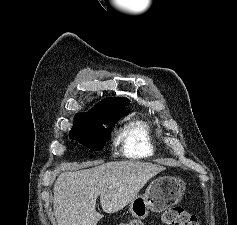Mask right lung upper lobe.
Returning a JSON list of instances; mask_svg holds the SVG:
<instances>
[{"instance_id": "1", "label": "right lung upper lobe", "mask_w": 237, "mask_h": 225, "mask_svg": "<svg viewBox=\"0 0 237 225\" xmlns=\"http://www.w3.org/2000/svg\"><path fill=\"white\" fill-rule=\"evenodd\" d=\"M129 105V100L123 97L120 98H106L99 104H97L88 113H77L74 117V124H85L87 123L92 115L97 111L109 112L114 115H124L126 109L124 106Z\"/></svg>"}]
</instances>
